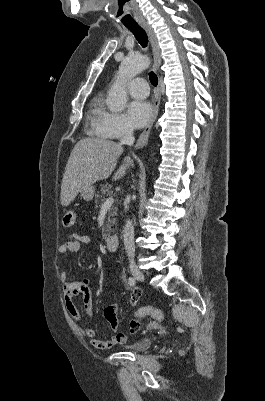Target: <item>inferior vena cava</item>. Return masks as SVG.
<instances>
[{
	"instance_id": "obj_1",
	"label": "inferior vena cava",
	"mask_w": 265,
	"mask_h": 401,
	"mask_svg": "<svg viewBox=\"0 0 265 401\" xmlns=\"http://www.w3.org/2000/svg\"><path fill=\"white\" fill-rule=\"evenodd\" d=\"M135 136H133V128L129 122H127L123 134V138L120 140V144H134ZM128 209V207H126ZM125 251L129 259H134L135 257V247H134V227L131 221H126V225L123 231Z\"/></svg>"
}]
</instances>
